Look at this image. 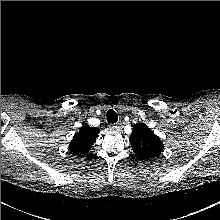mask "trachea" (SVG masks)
Here are the masks:
<instances>
[{"label": "trachea", "mask_w": 220, "mask_h": 220, "mask_svg": "<svg viewBox=\"0 0 220 220\" xmlns=\"http://www.w3.org/2000/svg\"><path fill=\"white\" fill-rule=\"evenodd\" d=\"M106 115L108 123H116L118 121V115L113 109H109Z\"/></svg>", "instance_id": "obj_1"}]
</instances>
